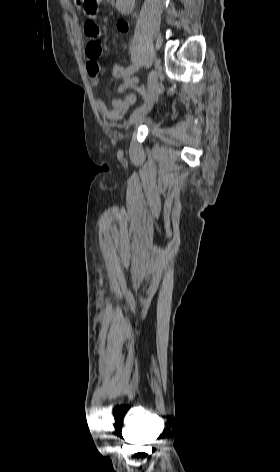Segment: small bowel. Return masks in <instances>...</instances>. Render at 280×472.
Wrapping results in <instances>:
<instances>
[{"label": "small bowel", "instance_id": "c3829d8e", "mask_svg": "<svg viewBox=\"0 0 280 472\" xmlns=\"http://www.w3.org/2000/svg\"><path fill=\"white\" fill-rule=\"evenodd\" d=\"M134 0H117L116 10L121 15H128L134 9ZM117 29L120 32H128L129 24L125 19H120L117 22ZM83 31L85 36L88 38L86 45V56H87V71L90 76L91 84L96 86L99 82L100 64L99 58L102 51V45L99 41L100 28L97 23L88 19L84 22ZM128 89L127 85L122 83L118 87V92L123 93ZM136 102L134 95H127L124 97H117L113 99L111 110H108L102 101H98V108L102 115L111 122H117L122 118L125 112Z\"/></svg>", "mask_w": 280, "mask_h": 472}]
</instances>
